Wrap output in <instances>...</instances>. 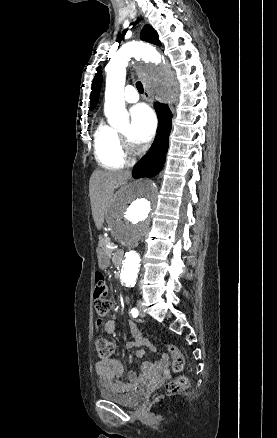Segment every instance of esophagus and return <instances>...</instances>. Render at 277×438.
<instances>
[{
    "label": "esophagus",
    "instance_id": "esophagus-1",
    "mask_svg": "<svg viewBox=\"0 0 277 438\" xmlns=\"http://www.w3.org/2000/svg\"><path fill=\"white\" fill-rule=\"evenodd\" d=\"M162 67L164 68L165 71H168V70H169L168 67L166 66V64H163ZM143 96H144V98H145L146 100L152 102V99L150 98V96H149V92H148V90L146 89L145 85H144V94H143Z\"/></svg>",
    "mask_w": 277,
    "mask_h": 438
}]
</instances>
